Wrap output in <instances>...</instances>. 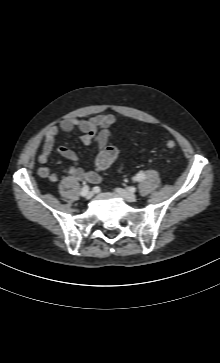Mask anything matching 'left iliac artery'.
<instances>
[{
    "label": "left iliac artery",
    "instance_id": "44dca946",
    "mask_svg": "<svg viewBox=\"0 0 220 363\" xmlns=\"http://www.w3.org/2000/svg\"><path fill=\"white\" fill-rule=\"evenodd\" d=\"M145 178V175H144V173L143 172H139L135 177H134V179L136 180V181H142L143 179Z\"/></svg>",
    "mask_w": 220,
    "mask_h": 363
}]
</instances>
